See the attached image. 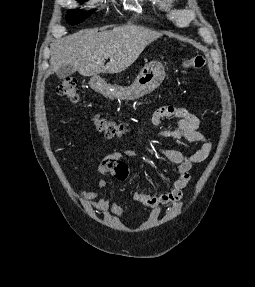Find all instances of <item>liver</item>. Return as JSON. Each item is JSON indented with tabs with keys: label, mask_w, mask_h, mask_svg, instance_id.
<instances>
[{
	"label": "liver",
	"mask_w": 255,
	"mask_h": 287,
	"mask_svg": "<svg viewBox=\"0 0 255 287\" xmlns=\"http://www.w3.org/2000/svg\"><path fill=\"white\" fill-rule=\"evenodd\" d=\"M103 30V28H101ZM162 34L139 28L118 26L113 30H81L52 44L51 64L54 70L61 66H74L81 76L119 74L127 70L148 44ZM110 62L104 66L105 60Z\"/></svg>",
	"instance_id": "liver-1"
}]
</instances>
